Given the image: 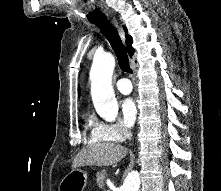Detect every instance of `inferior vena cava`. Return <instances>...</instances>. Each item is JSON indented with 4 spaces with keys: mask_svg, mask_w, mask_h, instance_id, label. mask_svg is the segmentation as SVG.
<instances>
[{
    "mask_svg": "<svg viewBox=\"0 0 221 191\" xmlns=\"http://www.w3.org/2000/svg\"><path fill=\"white\" fill-rule=\"evenodd\" d=\"M129 136H130V137L132 136V133H131V132L129 133Z\"/></svg>",
    "mask_w": 221,
    "mask_h": 191,
    "instance_id": "obj_1",
    "label": "inferior vena cava"
}]
</instances>
